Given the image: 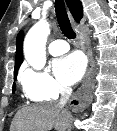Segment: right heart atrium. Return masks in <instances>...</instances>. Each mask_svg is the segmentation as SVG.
<instances>
[{
	"label": "right heart atrium",
	"mask_w": 117,
	"mask_h": 131,
	"mask_svg": "<svg viewBox=\"0 0 117 131\" xmlns=\"http://www.w3.org/2000/svg\"><path fill=\"white\" fill-rule=\"evenodd\" d=\"M20 81L27 97L35 101L55 100L68 91L64 84L46 70L25 67L21 71Z\"/></svg>",
	"instance_id": "1"
}]
</instances>
